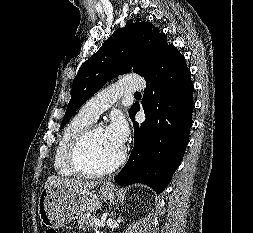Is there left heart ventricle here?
Listing matches in <instances>:
<instances>
[{"label": "left heart ventricle", "instance_id": "b2bd125f", "mask_svg": "<svg viewBox=\"0 0 253 233\" xmlns=\"http://www.w3.org/2000/svg\"><path fill=\"white\" fill-rule=\"evenodd\" d=\"M122 148L116 146L102 126H97L82 153L83 165L89 169H100L113 163Z\"/></svg>", "mask_w": 253, "mask_h": 233}]
</instances>
